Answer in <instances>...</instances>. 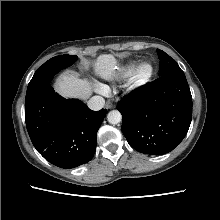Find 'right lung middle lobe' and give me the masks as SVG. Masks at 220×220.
I'll use <instances>...</instances> for the list:
<instances>
[{"label": "right lung middle lobe", "mask_w": 220, "mask_h": 220, "mask_svg": "<svg viewBox=\"0 0 220 220\" xmlns=\"http://www.w3.org/2000/svg\"><path fill=\"white\" fill-rule=\"evenodd\" d=\"M77 59V56L59 55L45 62L37 69L31 79L27 88L26 99L48 86L54 75L60 70L71 66Z\"/></svg>", "instance_id": "obj_1"}]
</instances>
